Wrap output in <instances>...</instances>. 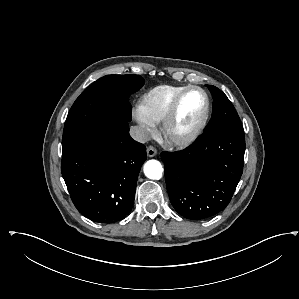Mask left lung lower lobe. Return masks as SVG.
I'll return each mask as SVG.
<instances>
[{
    "mask_svg": "<svg viewBox=\"0 0 299 299\" xmlns=\"http://www.w3.org/2000/svg\"><path fill=\"white\" fill-rule=\"evenodd\" d=\"M242 130L204 132L186 149L162 152L170 201L183 217L210 218L230 202L243 172Z\"/></svg>",
    "mask_w": 299,
    "mask_h": 299,
    "instance_id": "left-lung-lower-lobe-1",
    "label": "left lung lower lobe"
}]
</instances>
